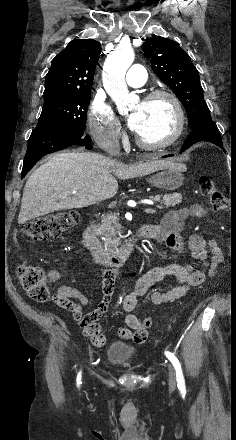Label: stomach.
Instances as JSON below:
<instances>
[{
  "label": "stomach",
  "mask_w": 236,
  "mask_h": 440,
  "mask_svg": "<svg viewBox=\"0 0 236 440\" xmlns=\"http://www.w3.org/2000/svg\"><path fill=\"white\" fill-rule=\"evenodd\" d=\"M159 170L147 179L148 183L163 190H175L182 185L184 165L174 164Z\"/></svg>",
  "instance_id": "0dacf381"
}]
</instances>
